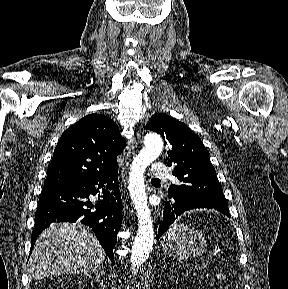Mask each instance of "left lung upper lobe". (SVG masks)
<instances>
[{
  "mask_svg": "<svg viewBox=\"0 0 288 289\" xmlns=\"http://www.w3.org/2000/svg\"><path fill=\"white\" fill-rule=\"evenodd\" d=\"M145 129L162 136L169 149L166 164L175 165L172 174L181 182L171 184L169 198L198 201L229 213L222 186L200 137L183 122L165 114H154Z\"/></svg>",
  "mask_w": 288,
  "mask_h": 289,
  "instance_id": "left-lung-upper-lobe-1",
  "label": "left lung upper lobe"
}]
</instances>
